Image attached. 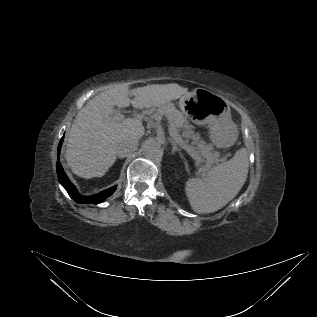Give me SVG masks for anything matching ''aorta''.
<instances>
[{"mask_svg": "<svg viewBox=\"0 0 317 317\" xmlns=\"http://www.w3.org/2000/svg\"><path fill=\"white\" fill-rule=\"evenodd\" d=\"M143 153L147 158L156 159L162 156L161 144L154 140H148L143 145Z\"/></svg>", "mask_w": 317, "mask_h": 317, "instance_id": "1", "label": "aorta"}]
</instances>
